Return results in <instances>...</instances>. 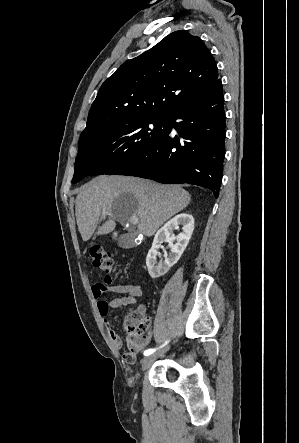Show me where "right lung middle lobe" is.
Here are the masks:
<instances>
[{
    "instance_id": "dd1d6c3e",
    "label": "right lung middle lobe",
    "mask_w": 299,
    "mask_h": 443,
    "mask_svg": "<svg viewBox=\"0 0 299 443\" xmlns=\"http://www.w3.org/2000/svg\"><path fill=\"white\" fill-rule=\"evenodd\" d=\"M167 129L166 116L144 117L119 122L80 138L72 182L89 175L114 174L132 164L161 141Z\"/></svg>"
}]
</instances>
